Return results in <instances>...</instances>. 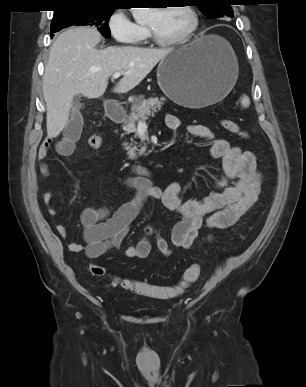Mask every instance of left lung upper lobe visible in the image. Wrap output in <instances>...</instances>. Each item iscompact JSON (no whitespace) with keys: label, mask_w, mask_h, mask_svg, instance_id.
<instances>
[{"label":"left lung upper lobe","mask_w":306,"mask_h":387,"mask_svg":"<svg viewBox=\"0 0 306 387\" xmlns=\"http://www.w3.org/2000/svg\"><path fill=\"white\" fill-rule=\"evenodd\" d=\"M193 3L209 18L224 16L233 17L230 0H192Z\"/></svg>","instance_id":"5c2ea615"}]
</instances>
